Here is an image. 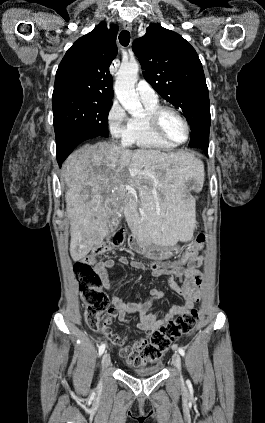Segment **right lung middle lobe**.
Masks as SVG:
<instances>
[{
    "instance_id": "dd1d6c3e",
    "label": "right lung middle lobe",
    "mask_w": 265,
    "mask_h": 423,
    "mask_svg": "<svg viewBox=\"0 0 265 423\" xmlns=\"http://www.w3.org/2000/svg\"><path fill=\"white\" fill-rule=\"evenodd\" d=\"M54 130L58 136L63 130L75 129L95 136L108 137V114L111 102L83 97H63L52 100ZM69 153L59 148L58 163H62Z\"/></svg>"
}]
</instances>
